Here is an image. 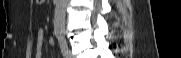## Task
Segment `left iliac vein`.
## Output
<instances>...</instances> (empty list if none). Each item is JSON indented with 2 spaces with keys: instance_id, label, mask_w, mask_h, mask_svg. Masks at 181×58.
<instances>
[{
  "instance_id": "obj_1",
  "label": "left iliac vein",
  "mask_w": 181,
  "mask_h": 58,
  "mask_svg": "<svg viewBox=\"0 0 181 58\" xmlns=\"http://www.w3.org/2000/svg\"><path fill=\"white\" fill-rule=\"evenodd\" d=\"M67 57H68V58H73L70 51H69V55H68Z\"/></svg>"
}]
</instances>
